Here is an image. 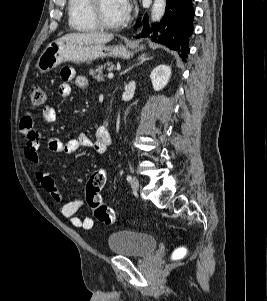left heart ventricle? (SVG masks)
Returning <instances> with one entry per match:
<instances>
[{
	"label": "left heart ventricle",
	"mask_w": 267,
	"mask_h": 301,
	"mask_svg": "<svg viewBox=\"0 0 267 301\" xmlns=\"http://www.w3.org/2000/svg\"><path fill=\"white\" fill-rule=\"evenodd\" d=\"M101 12L109 23H116L125 18L127 11L122 0H102Z\"/></svg>",
	"instance_id": "left-heart-ventricle-1"
}]
</instances>
